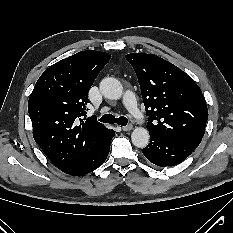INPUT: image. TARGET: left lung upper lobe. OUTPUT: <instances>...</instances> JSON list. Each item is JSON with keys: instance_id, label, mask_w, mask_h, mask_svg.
Returning <instances> with one entry per match:
<instances>
[{"instance_id": "1", "label": "left lung upper lobe", "mask_w": 233, "mask_h": 233, "mask_svg": "<svg viewBox=\"0 0 233 233\" xmlns=\"http://www.w3.org/2000/svg\"><path fill=\"white\" fill-rule=\"evenodd\" d=\"M125 57L140 84L149 133L198 147L208 117L199 86L184 71L156 55L131 53Z\"/></svg>"}]
</instances>
